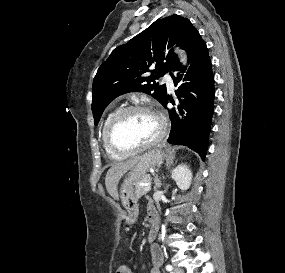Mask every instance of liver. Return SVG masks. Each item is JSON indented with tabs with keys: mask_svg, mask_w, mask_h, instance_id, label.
I'll return each instance as SVG.
<instances>
[{
	"mask_svg": "<svg viewBox=\"0 0 285 273\" xmlns=\"http://www.w3.org/2000/svg\"><path fill=\"white\" fill-rule=\"evenodd\" d=\"M140 156L134 157L126 162H118L112 165V167L107 171L105 177L106 189L110 196L115 200H118L119 195L117 191V185L120 178L125 174L129 169H131L139 160Z\"/></svg>",
	"mask_w": 285,
	"mask_h": 273,
	"instance_id": "liver-1",
	"label": "liver"
}]
</instances>
